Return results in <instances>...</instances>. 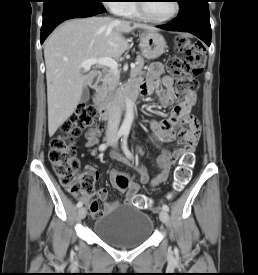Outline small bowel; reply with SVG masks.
I'll list each match as a JSON object with an SVG mask.
<instances>
[{
	"label": "small bowel",
	"mask_w": 258,
	"mask_h": 275,
	"mask_svg": "<svg viewBox=\"0 0 258 275\" xmlns=\"http://www.w3.org/2000/svg\"><path fill=\"white\" fill-rule=\"evenodd\" d=\"M159 86L165 89V93L160 97V104L163 106L171 105L175 100V93L173 89V78L164 74V67L161 63L156 62L150 65L147 73L142 77L131 81L127 87L137 88L143 96L153 93ZM196 103V95L191 94L186 99L177 104L170 116L162 121L153 120L150 123L151 135L149 139L161 147V153L156 159V164L160 169V173L150 181L147 169L138 164L137 161H131L118 156L113 153L111 157L119 160L124 164L133 167L139 174L138 181L131 177L128 187L125 191V203L130 204L135 195L141 189V185L149 183L152 187L158 186L167 181L170 175L171 167L183 155L191 152L200 136V126L197 118L191 114V111ZM105 124H100L95 128L88 130L85 134L86 146L91 151L99 141L104 130ZM178 142L182 147L173 151L163 147L164 144ZM137 155L143 154V148L137 147ZM89 171L95 172V169L88 167ZM116 171L110 172L111 182L116 185L115 179ZM117 186V185H116ZM108 196V190L105 187H100L97 190L96 198L87 197L84 199L89 211L93 217H100L105 213H109L116 207L115 202H105L103 210L100 209L98 200L105 201Z\"/></svg>",
	"instance_id": "small-bowel-1"
}]
</instances>
